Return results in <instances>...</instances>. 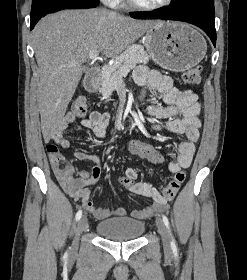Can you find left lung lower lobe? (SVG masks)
Returning <instances> with one entry per match:
<instances>
[{"instance_id": "1", "label": "left lung lower lobe", "mask_w": 247, "mask_h": 280, "mask_svg": "<svg viewBox=\"0 0 247 280\" xmlns=\"http://www.w3.org/2000/svg\"><path fill=\"white\" fill-rule=\"evenodd\" d=\"M137 19H163L188 22L201 28L216 45L214 4H197L187 7H167L157 13L131 14Z\"/></svg>"}]
</instances>
